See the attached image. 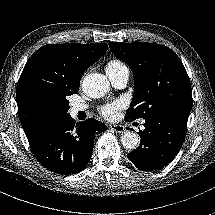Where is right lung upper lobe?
Returning <instances> with one entry per match:
<instances>
[{
  "mask_svg": "<svg viewBox=\"0 0 215 215\" xmlns=\"http://www.w3.org/2000/svg\"><path fill=\"white\" fill-rule=\"evenodd\" d=\"M107 49L106 43L48 44L29 58L20 75L16 99L20 122L31 149L62 120L50 112L49 103L77 93L85 70Z\"/></svg>",
  "mask_w": 215,
  "mask_h": 215,
  "instance_id": "1",
  "label": "right lung upper lobe"
}]
</instances>
